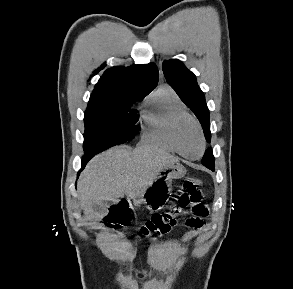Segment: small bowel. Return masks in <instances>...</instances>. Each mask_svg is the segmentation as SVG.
<instances>
[{"mask_svg":"<svg viewBox=\"0 0 293 289\" xmlns=\"http://www.w3.org/2000/svg\"><path fill=\"white\" fill-rule=\"evenodd\" d=\"M183 215L187 216L188 215V212H184ZM191 218H194L197 220V224L195 226H193V228H202L203 225H204V220L202 218H198L196 216L194 217H191ZM190 219V218H189ZM149 289H152V286H149L148 287Z\"/></svg>","mask_w":293,"mask_h":289,"instance_id":"1","label":"small bowel"}]
</instances>
